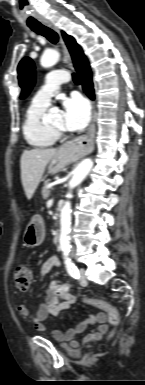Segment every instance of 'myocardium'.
<instances>
[{
    "label": "myocardium",
    "instance_id": "myocardium-1",
    "mask_svg": "<svg viewBox=\"0 0 145 385\" xmlns=\"http://www.w3.org/2000/svg\"><path fill=\"white\" fill-rule=\"evenodd\" d=\"M47 126L55 135H57V137L63 136L66 133L64 128L54 127L50 123H47Z\"/></svg>",
    "mask_w": 145,
    "mask_h": 385
}]
</instances>
